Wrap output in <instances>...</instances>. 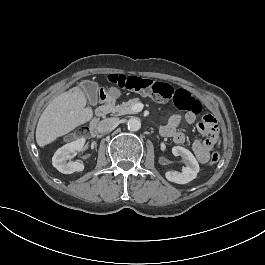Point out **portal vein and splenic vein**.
Listing matches in <instances>:
<instances>
[{"mask_svg":"<svg viewBox=\"0 0 265 265\" xmlns=\"http://www.w3.org/2000/svg\"><path fill=\"white\" fill-rule=\"evenodd\" d=\"M144 105L142 103L135 104L132 109L135 112H140L143 109Z\"/></svg>","mask_w":265,"mask_h":265,"instance_id":"18ae733b","label":"portal vein and splenic vein"}]
</instances>
